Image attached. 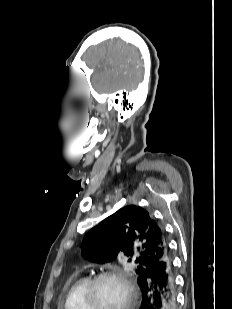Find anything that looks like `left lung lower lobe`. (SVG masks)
Wrapping results in <instances>:
<instances>
[{"mask_svg":"<svg viewBox=\"0 0 232 309\" xmlns=\"http://www.w3.org/2000/svg\"><path fill=\"white\" fill-rule=\"evenodd\" d=\"M139 286L140 309H176L174 266L169 251L149 268Z\"/></svg>","mask_w":232,"mask_h":309,"instance_id":"left-lung-lower-lobe-1","label":"left lung lower lobe"}]
</instances>
